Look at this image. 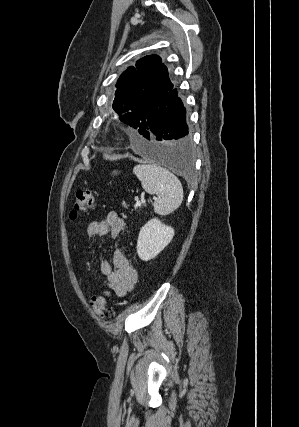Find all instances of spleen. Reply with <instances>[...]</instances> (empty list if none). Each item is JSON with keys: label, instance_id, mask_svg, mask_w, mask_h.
I'll return each instance as SVG.
<instances>
[{"label": "spleen", "instance_id": "obj_1", "mask_svg": "<svg viewBox=\"0 0 299 427\" xmlns=\"http://www.w3.org/2000/svg\"><path fill=\"white\" fill-rule=\"evenodd\" d=\"M133 173L147 193L157 195L153 204L155 213L167 215L181 205L182 184L172 172L155 164H139L134 167Z\"/></svg>", "mask_w": 299, "mask_h": 427}]
</instances>
